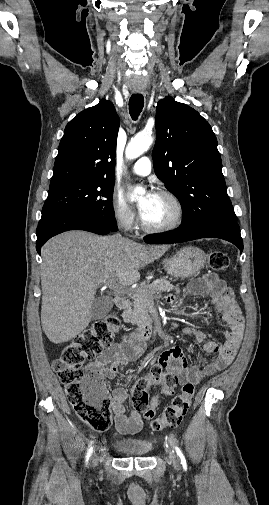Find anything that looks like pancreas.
I'll list each match as a JSON object with an SVG mask.
<instances>
[{"label":"pancreas","mask_w":269,"mask_h":505,"mask_svg":"<svg viewBox=\"0 0 269 505\" xmlns=\"http://www.w3.org/2000/svg\"><path fill=\"white\" fill-rule=\"evenodd\" d=\"M174 286L166 279L162 278L147 286L138 287L132 290V307H127L122 318L124 322L144 325L148 320V311L154 301V294L169 292Z\"/></svg>","instance_id":"obj_1"}]
</instances>
